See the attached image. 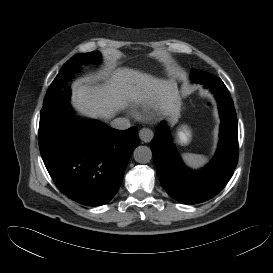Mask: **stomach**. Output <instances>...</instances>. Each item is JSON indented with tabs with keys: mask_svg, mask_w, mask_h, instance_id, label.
I'll list each match as a JSON object with an SVG mask.
<instances>
[{
	"mask_svg": "<svg viewBox=\"0 0 273 273\" xmlns=\"http://www.w3.org/2000/svg\"><path fill=\"white\" fill-rule=\"evenodd\" d=\"M190 129L187 126H183L177 132L178 142L181 145H186L190 141Z\"/></svg>",
	"mask_w": 273,
	"mask_h": 273,
	"instance_id": "obj_1",
	"label": "stomach"
}]
</instances>
